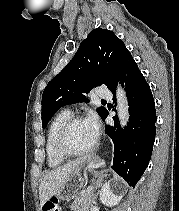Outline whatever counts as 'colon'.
<instances>
[{"mask_svg":"<svg viewBox=\"0 0 179 211\" xmlns=\"http://www.w3.org/2000/svg\"><path fill=\"white\" fill-rule=\"evenodd\" d=\"M43 211H61L58 200L55 197H52L48 201H46L42 208Z\"/></svg>","mask_w":179,"mask_h":211,"instance_id":"colon-1","label":"colon"}]
</instances>
